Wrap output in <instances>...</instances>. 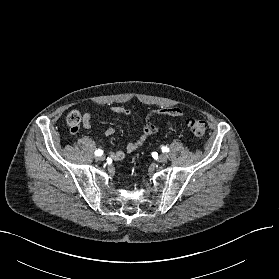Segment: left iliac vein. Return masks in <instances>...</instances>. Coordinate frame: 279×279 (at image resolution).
<instances>
[{"label":"left iliac vein","instance_id":"1","mask_svg":"<svg viewBox=\"0 0 279 279\" xmlns=\"http://www.w3.org/2000/svg\"><path fill=\"white\" fill-rule=\"evenodd\" d=\"M158 161L160 163H165L168 161V156L166 154H160L158 157Z\"/></svg>","mask_w":279,"mask_h":279}]
</instances>
